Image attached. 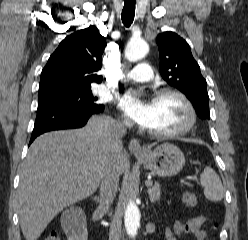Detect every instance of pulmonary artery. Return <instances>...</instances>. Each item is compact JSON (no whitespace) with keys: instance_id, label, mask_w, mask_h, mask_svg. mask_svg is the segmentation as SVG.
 <instances>
[{"instance_id":"obj_1","label":"pulmonary artery","mask_w":248,"mask_h":240,"mask_svg":"<svg viewBox=\"0 0 248 240\" xmlns=\"http://www.w3.org/2000/svg\"><path fill=\"white\" fill-rule=\"evenodd\" d=\"M153 77L151 67L148 63H139L131 71L124 73L121 77L122 81L147 82Z\"/></svg>"}]
</instances>
